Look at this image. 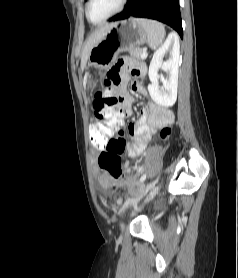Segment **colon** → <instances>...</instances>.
I'll use <instances>...</instances> for the list:
<instances>
[{"instance_id": "1", "label": "colon", "mask_w": 238, "mask_h": 278, "mask_svg": "<svg viewBox=\"0 0 238 278\" xmlns=\"http://www.w3.org/2000/svg\"><path fill=\"white\" fill-rule=\"evenodd\" d=\"M104 87L103 91L97 92L93 102L95 110V116L100 124H89V134L94 135L90 138L91 149L96 156H99L100 167L108 173L112 178L119 179L123 176L121 169V154L125 153L124 149H127V144H108L109 137L112 133H116V128L119 127L121 103L118 102V98H115L113 86L108 81V76L104 75ZM169 135V129L164 128L161 132L162 137Z\"/></svg>"}]
</instances>
